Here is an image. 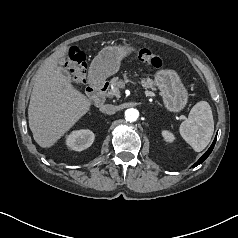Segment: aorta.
<instances>
[{
	"mask_svg": "<svg viewBox=\"0 0 238 238\" xmlns=\"http://www.w3.org/2000/svg\"><path fill=\"white\" fill-rule=\"evenodd\" d=\"M139 112L137 109L129 108L125 111V119L129 122H134L137 120Z\"/></svg>",
	"mask_w": 238,
	"mask_h": 238,
	"instance_id": "762f6f07",
	"label": "aorta"
}]
</instances>
